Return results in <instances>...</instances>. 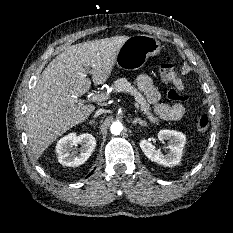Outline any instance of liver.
Listing matches in <instances>:
<instances>
[{
  "instance_id": "6515ba94",
  "label": "liver",
  "mask_w": 233,
  "mask_h": 233,
  "mask_svg": "<svg viewBox=\"0 0 233 233\" xmlns=\"http://www.w3.org/2000/svg\"><path fill=\"white\" fill-rule=\"evenodd\" d=\"M128 38L123 35L72 45L45 68L32 90L26 115L27 136L35 159L95 110L93 104L74 101L90 89L86 69H90L95 85L105 83Z\"/></svg>"
}]
</instances>
